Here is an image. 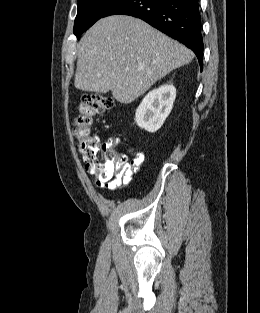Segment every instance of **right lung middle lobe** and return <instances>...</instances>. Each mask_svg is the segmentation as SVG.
Segmentation results:
<instances>
[{
    "instance_id": "obj_1",
    "label": "right lung middle lobe",
    "mask_w": 260,
    "mask_h": 313,
    "mask_svg": "<svg viewBox=\"0 0 260 313\" xmlns=\"http://www.w3.org/2000/svg\"><path fill=\"white\" fill-rule=\"evenodd\" d=\"M118 0H78V11L73 33L80 35L90 28Z\"/></svg>"
}]
</instances>
